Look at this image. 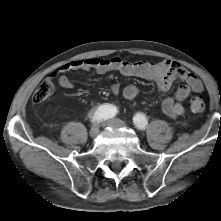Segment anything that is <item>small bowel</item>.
Listing matches in <instances>:
<instances>
[{
  "instance_id": "obj_1",
  "label": "small bowel",
  "mask_w": 221,
  "mask_h": 221,
  "mask_svg": "<svg viewBox=\"0 0 221 221\" xmlns=\"http://www.w3.org/2000/svg\"><path fill=\"white\" fill-rule=\"evenodd\" d=\"M74 71H94L97 74L109 72H119L125 76L138 77L152 81L157 85L160 92H167L175 81H182L181 85L172 97H167L162 102V110L170 118H176L185 113L184 101L192 92H202L204 87L200 79L183 68L180 64L162 60L151 62L145 60L127 61L115 56L110 59L87 58L74 60L62 65L56 72L51 74V78H57L58 84L64 89H72L73 82L67 76ZM114 94H121L127 100H134L138 96V88L135 85L121 87L120 84L112 85Z\"/></svg>"
}]
</instances>
